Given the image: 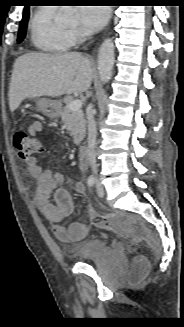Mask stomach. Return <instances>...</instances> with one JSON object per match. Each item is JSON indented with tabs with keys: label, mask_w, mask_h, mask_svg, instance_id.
Returning <instances> with one entry per match:
<instances>
[{
	"label": "stomach",
	"mask_w": 184,
	"mask_h": 327,
	"mask_svg": "<svg viewBox=\"0 0 184 327\" xmlns=\"http://www.w3.org/2000/svg\"><path fill=\"white\" fill-rule=\"evenodd\" d=\"M37 106L39 111L49 117L56 118L60 114V102L56 100H51L47 98H41L37 101Z\"/></svg>",
	"instance_id": "obj_1"
}]
</instances>
